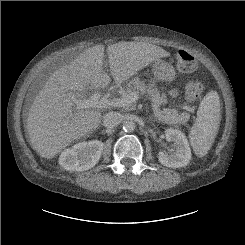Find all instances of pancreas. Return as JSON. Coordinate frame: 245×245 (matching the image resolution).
Returning <instances> with one entry per match:
<instances>
[{
    "instance_id": "obj_1",
    "label": "pancreas",
    "mask_w": 245,
    "mask_h": 245,
    "mask_svg": "<svg viewBox=\"0 0 245 245\" xmlns=\"http://www.w3.org/2000/svg\"><path fill=\"white\" fill-rule=\"evenodd\" d=\"M134 91L142 94L147 93L151 100L155 117L164 124H184L190 118L189 113L183 112L179 114L176 109L161 108V106L167 103V97L165 94H160L153 82L145 84V82L141 81L138 77L132 78L127 88L124 90L123 96Z\"/></svg>"
}]
</instances>
